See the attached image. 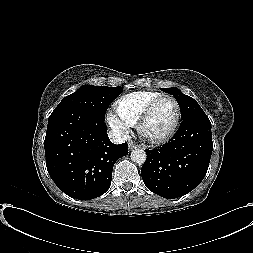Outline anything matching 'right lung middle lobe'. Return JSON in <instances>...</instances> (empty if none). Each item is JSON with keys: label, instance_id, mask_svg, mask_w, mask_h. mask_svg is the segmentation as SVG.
I'll return each instance as SVG.
<instances>
[{"label": "right lung middle lobe", "instance_id": "obj_1", "mask_svg": "<svg viewBox=\"0 0 253 253\" xmlns=\"http://www.w3.org/2000/svg\"><path fill=\"white\" fill-rule=\"evenodd\" d=\"M123 91V88L84 85L76 92L66 96L53 112L77 109L105 119L109 104Z\"/></svg>", "mask_w": 253, "mask_h": 253}]
</instances>
